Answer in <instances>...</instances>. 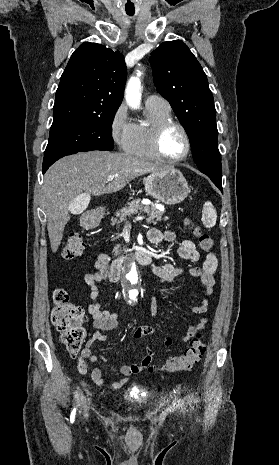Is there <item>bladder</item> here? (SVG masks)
<instances>
[{"mask_svg":"<svg viewBox=\"0 0 279 465\" xmlns=\"http://www.w3.org/2000/svg\"><path fill=\"white\" fill-rule=\"evenodd\" d=\"M128 398L133 401H139L142 399V393L139 388H134L128 392Z\"/></svg>","mask_w":279,"mask_h":465,"instance_id":"31cf9c89","label":"bladder"}]
</instances>
